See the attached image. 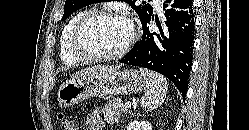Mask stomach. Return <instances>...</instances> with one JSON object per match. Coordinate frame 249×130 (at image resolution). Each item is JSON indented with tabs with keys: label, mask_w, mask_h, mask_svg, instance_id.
I'll return each instance as SVG.
<instances>
[{
	"label": "stomach",
	"mask_w": 249,
	"mask_h": 130,
	"mask_svg": "<svg viewBox=\"0 0 249 130\" xmlns=\"http://www.w3.org/2000/svg\"><path fill=\"white\" fill-rule=\"evenodd\" d=\"M146 87L144 75L134 69L84 75L63 82L57 97L60 104L70 107L91 97H113L135 94Z\"/></svg>",
	"instance_id": "0dacf381"
}]
</instances>
